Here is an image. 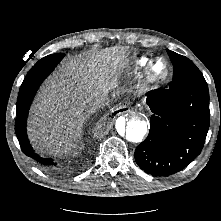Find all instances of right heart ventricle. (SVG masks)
<instances>
[{"mask_svg":"<svg viewBox=\"0 0 221 221\" xmlns=\"http://www.w3.org/2000/svg\"><path fill=\"white\" fill-rule=\"evenodd\" d=\"M148 62H149L148 57H142V58H140L138 63L141 67H145L148 64Z\"/></svg>","mask_w":221,"mask_h":221,"instance_id":"right-heart-ventricle-1","label":"right heart ventricle"}]
</instances>
